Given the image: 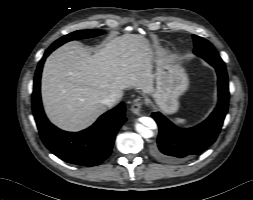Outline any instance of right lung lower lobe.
<instances>
[{
    "instance_id": "obj_1",
    "label": "right lung lower lobe",
    "mask_w": 253,
    "mask_h": 200,
    "mask_svg": "<svg viewBox=\"0 0 253 200\" xmlns=\"http://www.w3.org/2000/svg\"><path fill=\"white\" fill-rule=\"evenodd\" d=\"M57 47H49L40 60L34 79L32 109L44 145L60 159L81 166L101 164L112 151L117 131L126 121L125 105L106 112L89 128L80 132H65L52 125L43 111L40 79L46 57Z\"/></svg>"
}]
</instances>
